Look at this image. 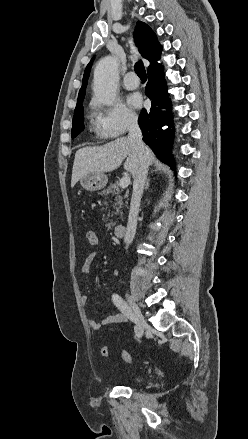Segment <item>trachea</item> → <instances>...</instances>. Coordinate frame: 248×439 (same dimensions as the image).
Listing matches in <instances>:
<instances>
[{"label":"trachea","instance_id":"trachea-1","mask_svg":"<svg viewBox=\"0 0 248 439\" xmlns=\"http://www.w3.org/2000/svg\"><path fill=\"white\" fill-rule=\"evenodd\" d=\"M134 69H135V72H136V74L138 75V77H139L140 79H142V80H146V79H147V74H146V71H145L144 65L142 64L141 61H138V62L135 64Z\"/></svg>","mask_w":248,"mask_h":439}]
</instances>
